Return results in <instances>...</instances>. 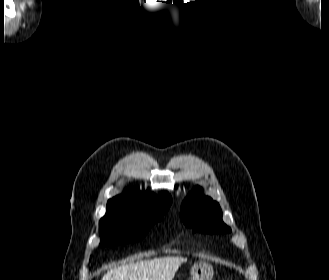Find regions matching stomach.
<instances>
[{"instance_id": "obj_1", "label": "stomach", "mask_w": 329, "mask_h": 280, "mask_svg": "<svg viewBox=\"0 0 329 280\" xmlns=\"http://www.w3.org/2000/svg\"><path fill=\"white\" fill-rule=\"evenodd\" d=\"M191 280H212L213 267L205 261L195 263L190 270Z\"/></svg>"}]
</instances>
